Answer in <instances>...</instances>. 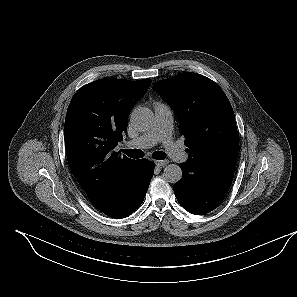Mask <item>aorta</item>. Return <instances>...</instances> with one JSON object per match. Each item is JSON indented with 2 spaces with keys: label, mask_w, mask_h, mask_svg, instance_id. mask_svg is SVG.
<instances>
[{
  "label": "aorta",
  "mask_w": 297,
  "mask_h": 297,
  "mask_svg": "<svg viewBox=\"0 0 297 297\" xmlns=\"http://www.w3.org/2000/svg\"><path fill=\"white\" fill-rule=\"evenodd\" d=\"M130 122L138 130H146L153 123V114L146 107H137L130 114ZM165 181L175 184L182 178V170L176 164H169L163 172Z\"/></svg>",
  "instance_id": "aorta-1"
}]
</instances>
